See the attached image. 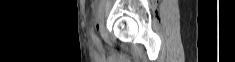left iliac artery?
Wrapping results in <instances>:
<instances>
[{
    "instance_id": "1",
    "label": "left iliac artery",
    "mask_w": 235,
    "mask_h": 62,
    "mask_svg": "<svg viewBox=\"0 0 235 62\" xmlns=\"http://www.w3.org/2000/svg\"><path fill=\"white\" fill-rule=\"evenodd\" d=\"M91 36H92V39H93L94 43L98 44L99 43V39H98V37L94 33L93 26L91 27Z\"/></svg>"
}]
</instances>
